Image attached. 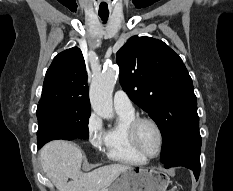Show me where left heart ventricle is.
I'll list each match as a JSON object with an SVG mask.
<instances>
[{
	"mask_svg": "<svg viewBox=\"0 0 233 191\" xmlns=\"http://www.w3.org/2000/svg\"><path fill=\"white\" fill-rule=\"evenodd\" d=\"M138 141L143 152L153 156L158 150V134L156 129L149 123H143L138 131Z\"/></svg>",
	"mask_w": 233,
	"mask_h": 191,
	"instance_id": "obj_1",
	"label": "left heart ventricle"
}]
</instances>
